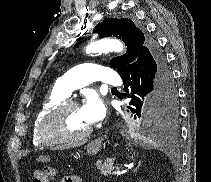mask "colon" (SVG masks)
Listing matches in <instances>:
<instances>
[{"label":"colon","instance_id":"1","mask_svg":"<svg viewBox=\"0 0 211 182\" xmlns=\"http://www.w3.org/2000/svg\"><path fill=\"white\" fill-rule=\"evenodd\" d=\"M55 169L50 166L44 167L43 171H36L33 176L32 182H48L50 179L54 178Z\"/></svg>","mask_w":211,"mask_h":182}]
</instances>
